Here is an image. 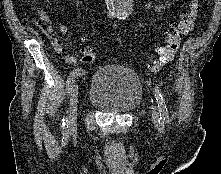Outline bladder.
Listing matches in <instances>:
<instances>
[{
    "instance_id": "1",
    "label": "bladder",
    "mask_w": 221,
    "mask_h": 174,
    "mask_svg": "<svg viewBox=\"0 0 221 174\" xmlns=\"http://www.w3.org/2000/svg\"><path fill=\"white\" fill-rule=\"evenodd\" d=\"M142 95V83L132 69L109 64L94 72L87 98L102 112L123 114L137 108Z\"/></svg>"
}]
</instances>
